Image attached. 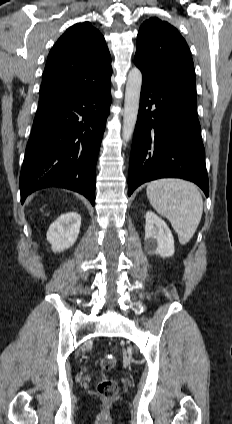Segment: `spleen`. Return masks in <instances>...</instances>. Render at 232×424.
I'll return each mask as SVG.
<instances>
[{
    "mask_svg": "<svg viewBox=\"0 0 232 424\" xmlns=\"http://www.w3.org/2000/svg\"><path fill=\"white\" fill-rule=\"evenodd\" d=\"M147 197L153 208L171 222L179 242L182 245L188 243L203 213V199L198 187L182 179H158L148 184Z\"/></svg>",
    "mask_w": 232,
    "mask_h": 424,
    "instance_id": "1",
    "label": "spleen"
}]
</instances>
